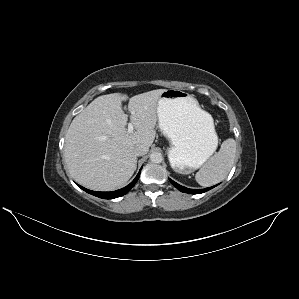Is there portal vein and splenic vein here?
<instances>
[{"instance_id":"portal-vein-and-splenic-vein-1","label":"portal vein and splenic vein","mask_w":299,"mask_h":299,"mask_svg":"<svg viewBox=\"0 0 299 299\" xmlns=\"http://www.w3.org/2000/svg\"><path fill=\"white\" fill-rule=\"evenodd\" d=\"M133 129H134L133 124H132V123H129V124H128L127 132H128L129 134H131V133H133Z\"/></svg>"}]
</instances>
